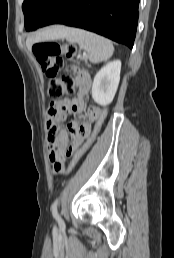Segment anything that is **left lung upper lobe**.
I'll list each match as a JSON object with an SVG mask.
<instances>
[{
	"instance_id": "obj_1",
	"label": "left lung upper lobe",
	"mask_w": 174,
	"mask_h": 258,
	"mask_svg": "<svg viewBox=\"0 0 174 258\" xmlns=\"http://www.w3.org/2000/svg\"><path fill=\"white\" fill-rule=\"evenodd\" d=\"M61 2L62 0H24L22 10L25 18V29L30 31L41 27Z\"/></svg>"
}]
</instances>
